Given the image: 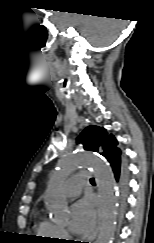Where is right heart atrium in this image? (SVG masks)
<instances>
[{
	"instance_id": "obj_1",
	"label": "right heart atrium",
	"mask_w": 154,
	"mask_h": 243,
	"mask_svg": "<svg viewBox=\"0 0 154 243\" xmlns=\"http://www.w3.org/2000/svg\"><path fill=\"white\" fill-rule=\"evenodd\" d=\"M61 236L62 237H66L67 236V234H66V232L64 230H61Z\"/></svg>"
}]
</instances>
